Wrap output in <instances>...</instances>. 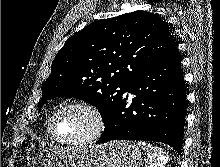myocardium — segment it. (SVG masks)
I'll return each instance as SVG.
<instances>
[{"mask_svg":"<svg viewBox=\"0 0 220 167\" xmlns=\"http://www.w3.org/2000/svg\"><path fill=\"white\" fill-rule=\"evenodd\" d=\"M70 108L82 109L89 114L92 119L93 126L91 131L84 137L72 139V140H63L56 136L54 126L57 117L65 110ZM105 120L102 113L93 105L84 102V101H71L60 106L52 115L48 124V133L53 141L57 144L64 146H84L96 142L105 131Z\"/></svg>","mask_w":220,"mask_h":167,"instance_id":"obj_1","label":"myocardium"}]
</instances>
